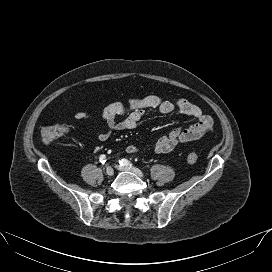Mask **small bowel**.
Here are the masks:
<instances>
[{"label": "small bowel", "instance_id": "c3829d8e", "mask_svg": "<svg viewBox=\"0 0 272 272\" xmlns=\"http://www.w3.org/2000/svg\"><path fill=\"white\" fill-rule=\"evenodd\" d=\"M145 110H155L162 114H170L176 110L190 116L196 123L189 127H177L168 134L160 137L153 145V150L157 153H167L174 150L178 145L195 141L210 133L213 129V119L203 113L200 107L185 100L177 101L163 100L158 96L149 95L144 97H134L125 102H114L106 106L101 111V119L105 124V129L97 130V138L100 141L107 140L113 131L135 129L145 112ZM125 114L122 120H117L119 115ZM74 118L81 121L92 122L93 118L84 111L74 113ZM127 153H136L139 147L129 144L126 147Z\"/></svg>", "mask_w": 272, "mask_h": 272}]
</instances>
